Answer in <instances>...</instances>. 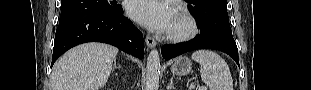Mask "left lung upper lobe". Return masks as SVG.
<instances>
[{
    "label": "left lung upper lobe",
    "mask_w": 311,
    "mask_h": 90,
    "mask_svg": "<svg viewBox=\"0 0 311 90\" xmlns=\"http://www.w3.org/2000/svg\"><path fill=\"white\" fill-rule=\"evenodd\" d=\"M189 11L200 25V33L218 31L232 35L226 0H187Z\"/></svg>",
    "instance_id": "5c2ea615"
}]
</instances>
